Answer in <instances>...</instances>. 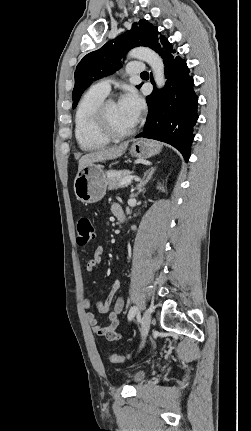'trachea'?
I'll list each match as a JSON object with an SVG mask.
<instances>
[{"instance_id":"1","label":"trachea","mask_w":251,"mask_h":431,"mask_svg":"<svg viewBox=\"0 0 251 431\" xmlns=\"http://www.w3.org/2000/svg\"><path fill=\"white\" fill-rule=\"evenodd\" d=\"M141 75H148V72H142Z\"/></svg>"}]
</instances>
